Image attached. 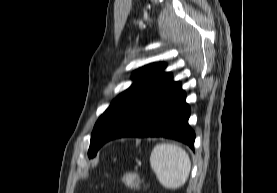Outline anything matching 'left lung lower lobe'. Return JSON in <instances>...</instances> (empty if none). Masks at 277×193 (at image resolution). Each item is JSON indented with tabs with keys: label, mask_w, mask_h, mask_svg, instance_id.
<instances>
[{
	"label": "left lung lower lobe",
	"mask_w": 277,
	"mask_h": 193,
	"mask_svg": "<svg viewBox=\"0 0 277 193\" xmlns=\"http://www.w3.org/2000/svg\"><path fill=\"white\" fill-rule=\"evenodd\" d=\"M180 82L172 77L131 104L103 135L101 146L120 137H166L194 148L195 133L188 124L189 105Z\"/></svg>",
	"instance_id": "obj_1"
}]
</instances>
